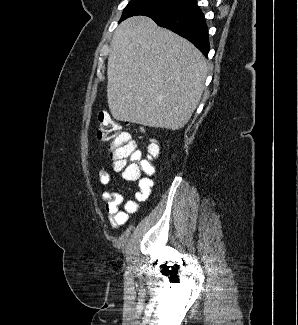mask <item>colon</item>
Here are the masks:
<instances>
[{
    "label": "colon",
    "instance_id": "colon-1",
    "mask_svg": "<svg viewBox=\"0 0 298 325\" xmlns=\"http://www.w3.org/2000/svg\"><path fill=\"white\" fill-rule=\"evenodd\" d=\"M96 137L100 143L107 145L116 168L123 170L124 178L135 180L141 174L154 171L152 160L143 158L130 134L122 130L120 123L109 112L98 115ZM150 154L151 158L156 157L159 149L153 146Z\"/></svg>",
    "mask_w": 298,
    "mask_h": 325
}]
</instances>
